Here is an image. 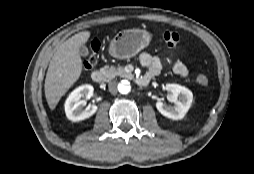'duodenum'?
Returning <instances> with one entry per match:
<instances>
[{"label": "duodenum", "instance_id": "duodenum-1", "mask_svg": "<svg viewBox=\"0 0 254 174\" xmlns=\"http://www.w3.org/2000/svg\"><path fill=\"white\" fill-rule=\"evenodd\" d=\"M153 77H151L150 75H142L137 77L136 79V83L139 86H147L149 84V82L151 81ZM91 79L93 80V82H95L96 84H103L106 80V75L103 71L101 70H94L91 73Z\"/></svg>", "mask_w": 254, "mask_h": 174}]
</instances>
